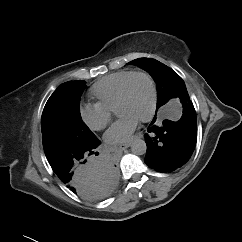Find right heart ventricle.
<instances>
[{
    "label": "right heart ventricle",
    "instance_id": "1",
    "mask_svg": "<svg viewBox=\"0 0 242 242\" xmlns=\"http://www.w3.org/2000/svg\"><path fill=\"white\" fill-rule=\"evenodd\" d=\"M133 72L132 70H122L103 77L91 87V95L98 100L97 103L114 111L120 89L127 77Z\"/></svg>",
    "mask_w": 242,
    "mask_h": 242
}]
</instances>
